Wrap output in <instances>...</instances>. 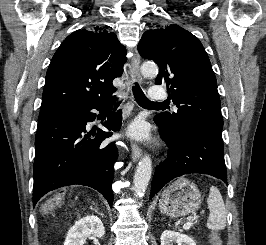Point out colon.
Segmentation results:
<instances>
[{"label":"colon","instance_id":"colon-1","mask_svg":"<svg viewBox=\"0 0 266 245\" xmlns=\"http://www.w3.org/2000/svg\"><path fill=\"white\" fill-rule=\"evenodd\" d=\"M61 202V199H51L47 204V209L48 210H52V209H55ZM209 242H210V245H222V242L220 240V238L215 235V234H211L209 236Z\"/></svg>","mask_w":266,"mask_h":245}]
</instances>
